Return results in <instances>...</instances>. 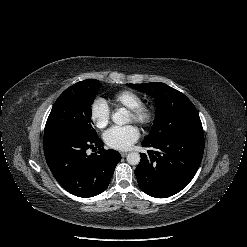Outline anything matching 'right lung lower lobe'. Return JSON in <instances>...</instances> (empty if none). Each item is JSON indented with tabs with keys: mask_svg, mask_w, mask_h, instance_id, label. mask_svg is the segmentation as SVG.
<instances>
[{
	"mask_svg": "<svg viewBox=\"0 0 247 247\" xmlns=\"http://www.w3.org/2000/svg\"><path fill=\"white\" fill-rule=\"evenodd\" d=\"M98 154H87L89 148ZM46 162L58 183L69 193L83 198L96 196L109 185L121 155L105 150L103 142L72 130L44 133Z\"/></svg>",
	"mask_w": 247,
	"mask_h": 247,
	"instance_id": "obj_1",
	"label": "right lung lower lobe"
}]
</instances>
